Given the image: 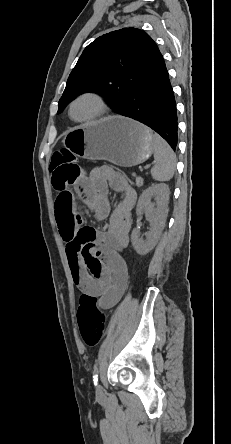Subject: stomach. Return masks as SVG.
<instances>
[{"label":"stomach","instance_id":"obj_1","mask_svg":"<svg viewBox=\"0 0 231 444\" xmlns=\"http://www.w3.org/2000/svg\"><path fill=\"white\" fill-rule=\"evenodd\" d=\"M153 136L151 130L139 122L109 116L69 130L62 142L77 157L132 167L153 153Z\"/></svg>","mask_w":231,"mask_h":444}]
</instances>
